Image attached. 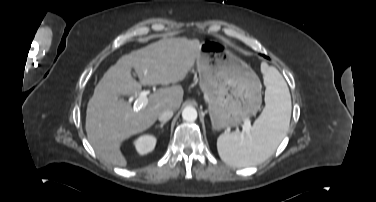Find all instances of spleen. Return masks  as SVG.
I'll use <instances>...</instances> for the list:
<instances>
[{
  "label": "spleen",
  "instance_id": "1",
  "mask_svg": "<svg viewBox=\"0 0 376 202\" xmlns=\"http://www.w3.org/2000/svg\"><path fill=\"white\" fill-rule=\"evenodd\" d=\"M265 108L250 133H223L217 139L220 158L235 167L257 165L268 159L285 137L291 117V96L286 82L275 67L261 64Z\"/></svg>",
  "mask_w": 376,
  "mask_h": 202
}]
</instances>
